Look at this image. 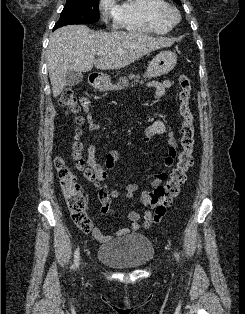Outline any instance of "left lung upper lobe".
Here are the masks:
<instances>
[{
  "label": "left lung upper lobe",
  "instance_id": "1",
  "mask_svg": "<svg viewBox=\"0 0 245 314\" xmlns=\"http://www.w3.org/2000/svg\"><path fill=\"white\" fill-rule=\"evenodd\" d=\"M177 4L181 5L180 0H174Z\"/></svg>",
  "mask_w": 245,
  "mask_h": 314
}]
</instances>
